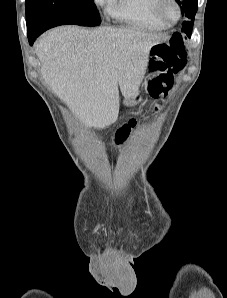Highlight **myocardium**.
I'll list each match as a JSON object with an SVG mask.
<instances>
[{
  "label": "myocardium",
  "mask_w": 227,
  "mask_h": 298,
  "mask_svg": "<svg viewBox=\"0 0 227 298\" xmlns=\"http://www.w3.org/2000/svg\"><path fill=\"white\" fill-rule=\"evenodd\" d=\"M167 2L172 3L176 8L175 19L168 18L163 11L164 4ZM153 12L158 19H160L162 22H164L167 25L176 24L181 19V15H182L181 6L178 0H155L153 5Z\"/></svg>",
  "instance_id": "obj_1"
}]
</instances>
